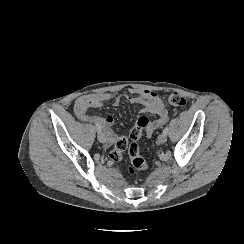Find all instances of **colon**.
Returning <instances> with one entry per match:
<instances>
[{
    "label": "colon",
    "instance_id": "obj_1",
    "mask_svg": "<svg viewBox=\"0 0 244 244\" xmlns=\"http://www.w3.org/2000/svg\"><path fill=\"white\" fill-rule=\"evenodd\" d=\"M163 100L165 103L175 107L182 108L187 105V99L182 94L177 92L164 93ZM148 124L149 117L146 115L140 116L130 130L129 137L131 142H129L126 136L117 138L108 154L109 162L118 163L123 159L124 154L127 151L129 156V164L126 166V170L132 177L135 176L138 171L144 170L148 166L147 161L141 155L140 146L137 144Z\"/></svg>",
    "mask_w": 244,
    "mask_h": 244
}]
</instances>
